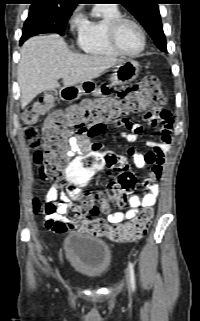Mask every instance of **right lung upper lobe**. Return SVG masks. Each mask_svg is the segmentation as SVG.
Segmentation results:
<instances>
[{
    "mask_svg": "<svg viewBox=\"0 0 200 321\" xmlns=\"http://www.w3.org/2000/svg\"><path fill=\"white\" fill-rule=\"evenodd\" d=\"M32 5H45L56 10L73 11L81 0H31Z\"/></svg>",
    "mask_w": 200,
    "mask_h": 321,
    "instance_id": "cb5924a9",
    "label": "right lung upper lobe"
}]
</instances>
